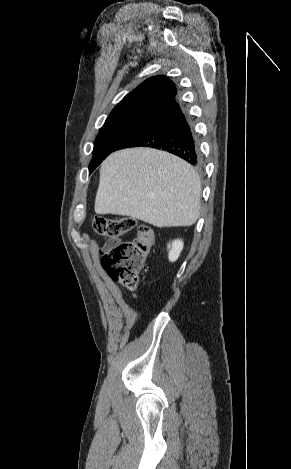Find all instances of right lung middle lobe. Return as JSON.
<instances>
[{"label":"right lung middle lobe","mask_w":291,"mask_h":469,"mask_svg":"<svg viewBox=\"0 0 291 469\" xmlns=\"http://www.w3.org/2000/svg\"><path fill=\"white\" fill-rule=\"evenodd\" d=\"M152 115L144 112L128 111L110 114L96 137L93 159L89 165L91 173L114 148Z\"/></svg>","instance_id":"dd1d6c3e"}]
</instances>
